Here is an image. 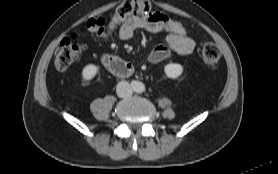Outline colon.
I'll return each mask as SVG.
<instances>
[{
	"instance_id": "5ec220e1",
	"label": "colon",
	"mask_w": 278,
	"mask_h": 174,
	"mask_svg": "<svg viewBox=\"0 0 278 174\" xmlns=\"http://www.w3.org/2000/svg\"><path fill=\"white\" fill-rule=\"evenodd\" d=\"M149 12L150 4L147 0H126L118 6L108 25L104 19L95 18L88 21L87 28L93 34L107 37L116 32L128 17ZM162 22L169 31L180 36H188L187 28L180 21L166 16L162 19ZM84 51L85 45L76 37L71 36L63 39L55 53V67L61 71L66 70L80 58ZM220 56V49L216 44L207 43L204 45L202 60L208 68L216 67Z\"/></svg>"
}]
</instances>
